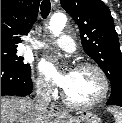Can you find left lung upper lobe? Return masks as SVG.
I'll list each match as a JSON object with an SVG mask.
<instances>
[{
  "instance_id": "1",
  "label": "left lung upper lobe",
  "mask_w": 122,
  "mask_h": 123,
  "mask_svg": "<svg viewBox=\"0 0 122 123\" xmlns=\"http://www.w3.org/2000/svg\"><path fill=\"white\" fill-rule=\"evenodd\" d=\"M80 29L84 51L101 67L112 91L122 88V53L110 10L101 0H60Z\"/></svg>"
}]
</instances>
